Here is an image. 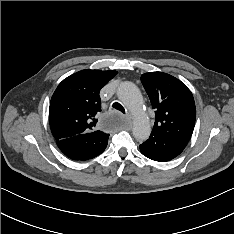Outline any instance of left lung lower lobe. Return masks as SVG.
Returning a JSON list of instances; mask_svg holds the SVG:
<instances>
[{
    "mask_svg": "<svg viewBox=\"0 0 234 234\" xmlns=\"http://www.w3.org/2000/svg\"><path fill=\"white\" fill-rule=\"evenodd\" d=\"M183 147L158 134L151 133L148 140L140 145L141 153L154 161L165 162L177 157Z\"/></svg>",
    "mask_w": 234,
    "mask_h": 234,
    "instance_id": "obj_1",
    "label": "left lung lower lobe"
}]
</instances>
